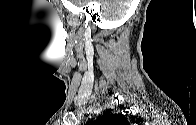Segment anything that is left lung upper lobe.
I'll return each instance as SVG.
<instances>
[{"instance_id": "obj_1", "label": "left lung upper lobe", "mask_w": 196, "mask_h": 125, "mask_svg": "<svg viewBox=\"0 0 196 125\" xmlns=\"http://www.w3.org/2000/svg\"><path fill=\"white\" fill-rule=\"evenodd\" d=\"M95 125H129L126 117L122 114H107L93 122Z\"/></svg>"}]
</instances>
